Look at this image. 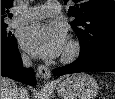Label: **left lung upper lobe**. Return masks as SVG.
<instances>
[{
    "label": "left lung upper lobe",
    "instance_id": "obj_1",
    "mask_svg": "<svg viewBox=\"0 0 115 99\" xmlns=\"http://www.w3.org/2000/svg\"><path fill=\"white\" fill-rule=\"evenodd\" d=\"M69 7L68 16L75 17L71 23L80 42V54L115 47V1L114 0H64Z\"/></svg>",
    "mask_w": 115,
    "mask_h": 99
}]
</instances>
